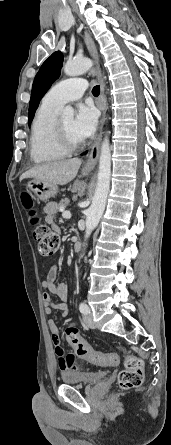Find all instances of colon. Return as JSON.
Instances as JSON below:
<instances>
[{"label":"colon","mask_w":171,"mask_h":445,"mask_svg":"<svg viewBox=\"0 0 171 445\" xmlns=\"http://www.w3.org/2000/svg\"><path fill=\"white\" fill-rule=\"evenodd\" d=\"M23 204L26 207L32 205V199L29 194L22 195ZM32 217L33 236L38 244L40 254L49 256L54 254L60 243V238L48 225L42 224L34 217L35 213L30 211ZM66 339L76 354L97 365H113L117 363L115 354H104L93 350L79 335V330L75 324H70L66 329ZM125 368L118 375V386L122 389L138 387L143 382L144 371L143 362L134 355H127L124 362Z\"/></svg>","instance_id":"1"}]
</instances>
